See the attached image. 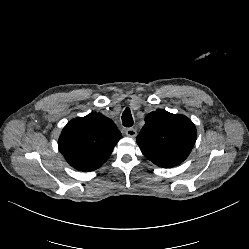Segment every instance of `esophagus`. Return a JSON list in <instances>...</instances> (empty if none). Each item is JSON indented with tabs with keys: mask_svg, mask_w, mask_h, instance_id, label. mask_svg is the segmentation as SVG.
<instances>
[{
	"mask_svg": "<svg viewBox=\"0 0 249 249\" xmlns=\"http://www.w3.org/2000/svg\"><path fill=\"white\" fill-rule=\"evenodd\" d=\"M125 134L131 138H135L137 136V130L135 128H128Z\"/></svg>",
	"mask_w": 249,
	"mask_h": 249,
	"instance_id": "34e87169",
	"label": "esophagus"
}]
</instances>
